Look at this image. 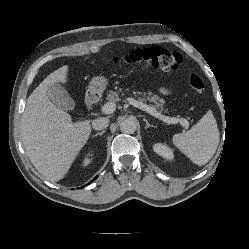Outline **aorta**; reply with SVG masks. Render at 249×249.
Here are the masks:
<instances>
[{"mask_svg":"<svg viewBox=\"0 0 249 249\" xmlns=\"http://www.w3.org/2000/svg\"><path fill=\"white\" fill-rule=\"evenodd\" d=\"M137 124L135 120L128 118L120 123V130L126 134H132L136 131Z\"/></svg>","mask_w":249,"mask_h":249,"instance_id":"obj_1","label":"aorta"}]
</instances>
